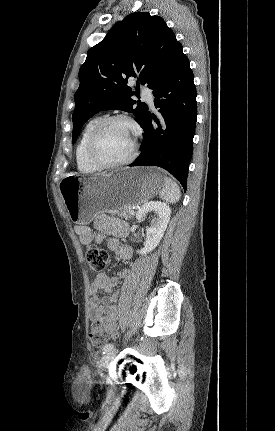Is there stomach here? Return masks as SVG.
<instances>
[{
    "label": "stomach",
    "instance_id": "stomach-1",
    "mask_svg": "<svg viewBox=\"0 0 275 431\" xmlns=\"http://www.w3.org/2000/svg\"><path fill=\"white\" fill-rule=\"evenodd\" d=\"M164 174L159 168H123L92 177L68 175L59 185L71 221L89 224L101 211L116 214L139 205L161 191Z\"/></svg>",
    "mask_w": 275,
    "mask_h": 431
}]
</instances>
